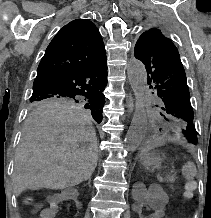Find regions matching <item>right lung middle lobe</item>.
I'll return each instance as SVG.
<instances>
[{
    "label": "right lung middle lobe",
    "mask_w": 211,
    "mask_h": 218,
    "mask_svg": "<svg viewBox=\"0 0 211 218\" xmlns=\"http://www.w3.org/2000/svg\"><path fill=\"white\" fill-rule=\"evenodd\" d=\"M31 108L33 109H46V108H57V107H69L79 106L85 109H90L92 117L100 123L102 116V108L105 104V98L103 97H43V98H32L30 99Z\"/></svg>",
    "instance_id": "obj_1"
}]
</instances>
